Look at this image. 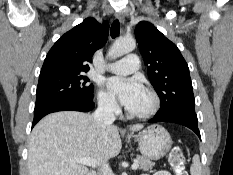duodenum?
<instances>
[{
	"mask_svg": "<svg viewBox=\"0 0 233 175\" xmlns=\"http://www.w3.org/2000/svg\"><path fill=\"white\" fill-rule=\"evenodd\" d=\"M87 175H94V174H92V173H88Z\"/></svg>",
	"mask_w": 233,
	"mask_h": 175,
	"instance_id": "410a0bca",
	"label": "duodenum"
}]
</instances>
